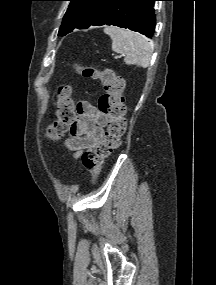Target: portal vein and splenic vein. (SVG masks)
Returning <instances> with one entry per match:
<instances>
[{"label":"portal vein and splenic vein","instance_id":"1","mask_svg":"<svg viewBox=\"0 0 216 285\" xmlns=\"http://www.w3.org/2000/svg\"><path fill=\"white\" fill-rule=\"evenodd\" d=\"M118 58H120V56L116 55V56H115V59H118Z\"/></svg>","mask_w":216,"mask_h":285}]
</instances>
